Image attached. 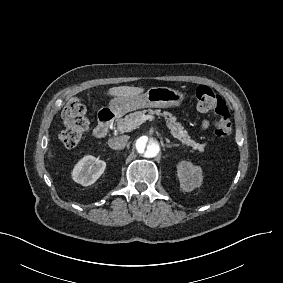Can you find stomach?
I'll use <instances>...</instances> for the list:
<instances>
[{"mask_svg":"<svg viewBox=\"0 0 283 283\" xmlns=\"http://www.w3.org/2000/svg\"><path fill=\"white\" fill-rule=\"evenodd\" d=\"M185 93L169 87H152L134 98H113L109 109L118 118L128 112L144 108H176L182 105Z\"/></svg>","mask_w":283,"mask_h":283,"instance_id":"stomach-1","label":"stomach"}]
</instances>
